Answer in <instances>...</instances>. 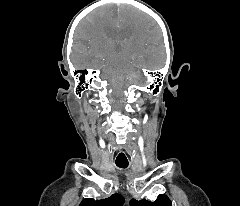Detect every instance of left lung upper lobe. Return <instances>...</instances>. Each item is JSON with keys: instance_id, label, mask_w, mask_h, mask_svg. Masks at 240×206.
<instances>
[{"instance_id": "obj_1", "label": "left lung upper lobe", "mask_w": 240, "mask_h": 206, "mask_svg": "<svg viewBox=\"0 0 240 206\" xmlns=\"http://www.w3.org/2000/svg\"><path fill=\"white\" fill-rule=\"evenodd\" d=\"M131 206H172L170 199L166 195H159L156 201L140 200L137 201L132 199L130 201Z\"/></svg>"}]
</instances>
